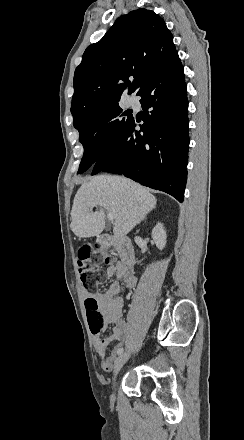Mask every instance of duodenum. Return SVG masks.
Returning a JSON list of instances; mask_svg holds the SVG:
<instances>
[{
    "mask_svg": "<svg viewBox=\"0 0 244 440\" xmlns=\"http://www.w3.org/2000/svg\"><path fill=\"white\" fill-rule=\"evenodd\" d=\"M99 242L102 246L109 247L115 245L122 263L131 267L135 264L136 254L132 245V241L127 237H112L109 235H102L99 237Z\"/></svg>",
    "mask_w": 244,
    "mask_h": 440,
    "instance_id": "duodenum-1",
    "label": "duodenum"
}]
</instances>
